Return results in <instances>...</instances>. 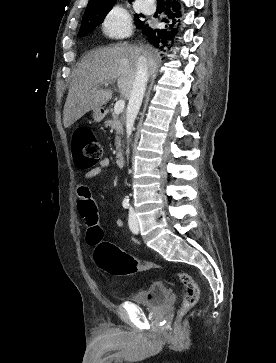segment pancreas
Here are the masks:
<instances>
[{
    "label": "pancreas",
    "instance_id": "1",
    "mask_svg": "<svg viewBox=\"0 0 276 363\" xmlns=\"http://www.w3.org/2000/svg\"><path fill=\"white\" fill-rule=\"evenodd\" d=\"M112 118L105 121V125L111 127L116 131V137H115V147L116 150H119L121 146V137L120 135L123 133V125H124V117H119L113 112Z\"/></svg>",
    "mask_w": 276,
    "mask_h": 363
}]
</instances>
